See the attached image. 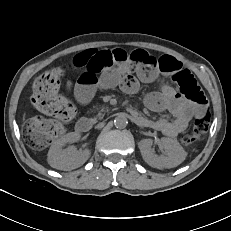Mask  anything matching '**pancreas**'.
Masks as SVG:
<instances>
[{"mask_svg":"<svg viewBox=\"0 0 231 231\" xmlns=\"http://www.w3.org/2000/svg\"><path fill=\"white\" fill-rule=\"evenodd\" d=\"M102 116V114L100 113L99 115H98V117H101Z\"/></svg>","mask_w":231,"mask_h":231,"instance_id":"pancreas-1","label":"pancreas"}]
</instances>
